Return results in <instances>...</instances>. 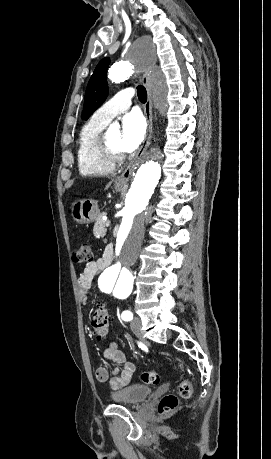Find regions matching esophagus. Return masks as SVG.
Segmentation results:
<instances>
[{"label":"esophagus","instance_id":"esophagus-1","mask_svg":"<svg viewBox=\"0 0 271 459\" xmlns=\"http://www.w3.org/2000/svg\"><path fill=\"white\" fill-rule=\"evenodd\" d=\"M151 61L155 62V58H152ZM140 67H136V72L138 73L139 71L142 72V82L146 87L147 90V101L143 107V113L147 121V131L144 137V140L142 142V145L136 155L134 156L133 160L129 163V165L126 167L124 172L119 175L114 181V185H127L130 177L132 176V173L139 165L141 162L147 148L150 145L152 134H153V114H152V89H151V83H150V75H149V62L147 60H142L140 62Z\"/></svg>","mask_w":271,"mask_h":459}]
</instances>
